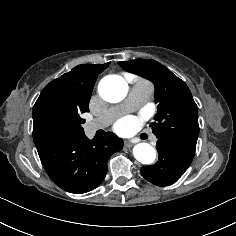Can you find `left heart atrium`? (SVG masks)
Here are the masks:
<instances>
[{
    "instance_id": "1",
    "label": "left heart atrium",
    "mask_w": 236,
    "mask_h": 236,
    "mask_svg": "<svg viewBox=\"0 0 236 236\" xmlns=\"http://www.w3.org/2000/svg\"><path fill=\"white\" fill-rule=\"evenodd\" d=\"M134 119L132 117H124L115 123V130L122 134H128L134 129Z\"/></svg>"
}]
</instances>
